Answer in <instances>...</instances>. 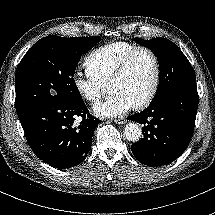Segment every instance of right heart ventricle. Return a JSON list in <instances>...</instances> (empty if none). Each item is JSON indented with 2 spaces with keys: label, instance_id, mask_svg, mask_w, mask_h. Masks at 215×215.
Wrapping results in <instances>:
<instances>
[{
  "label": "right heart ventricle",
  "instance_id": "obj_1",
  "mask_svg": "<svg viewBox=\"0 0 215 215\" xmlns=\"http://www.w3.org/2000/svg\"><path fill=\"white\" fill-rule=\"evenodd\" d=\"M136 45L128 41H114L104 44L84 59L86 72L102 83H106L114 71L118 61Z\"/></svg>",
  "mask_w": 215,
  "mask_h": 215
}]
</instances>
